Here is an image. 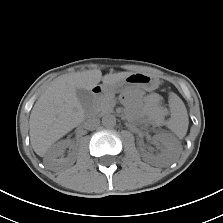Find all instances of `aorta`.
Here are the masks:
<instances>
[{"mask_svg": "<svg viewBox=\"0 0 223 223\" xmlns=\"http://www.w3.org/2000/svg\"><path fill=\"white\" fill-rule=\"evenodd\" d=\"M102 124L105 127H108V128L114 127L116 125V118H115V116L112 115V114L105 115L102 118Z\"/></svg>", "mask_w": 223, "mask_h": 223, "instance_id": "obj_1", "label": "aorta"}]
</instances>
